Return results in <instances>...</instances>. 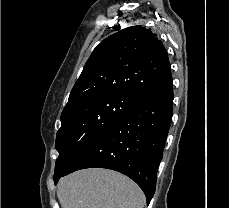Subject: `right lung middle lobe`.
I'll list each match as a JSON object with an SVG mask.
<instances>
[{
    "mask_svg": "<svg viewBox=\"0 0 229 208\" xmlns=\"http://www.w3.org/2000/svg\"><path fill=\"white\" fill-rule=\"evenodd\" d=\"M139 101L129 96H99L69 109L61 116L55 148L59 152L54 177L69 167L79 152L96 136L108 129Z\"/></svg>",
    "mask_w": 229,
    "mask_h": 208,
    "instance_id": "obj_1",
    "label": "right lung middle lobe"
}]
</instances>
